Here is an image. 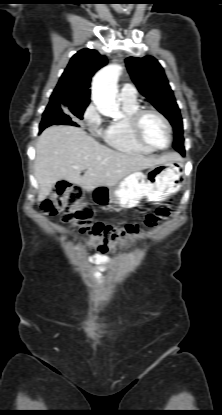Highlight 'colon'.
Masks as SVG:
<instances>
[{
  "instance_id": "1",
  "label": "colon",
  "mask_w": 222,
  "mask_h": 415,
  "mask_svg": "<svg viewBox=\"0 0 222 415\" xmlns=\"http://www.w3.org/2000/svg\"><path fill=\"white\" fill-rule=\"evenodd\" d=\"M81 196L82 190L79 186L67 181L58 182L51 196L43 203L42 210L46 215L62 214L65 223L77 226L83 233L88 234L96 243L98 251L102 253L114 251L117 240L124 241L140 232L141 227L135 224L118 227L101 221H92V211L82 204ZM168 215L169 210L160 207L146 215L145 226L153 227Z\"/></svg>"
}]
</instances>
